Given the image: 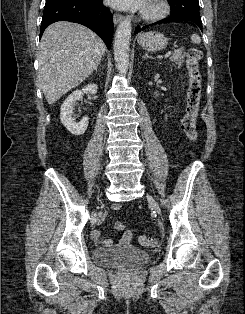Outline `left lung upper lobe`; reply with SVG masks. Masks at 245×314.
Masks as SVG:
<instances>
[{"mask_svg": "<svg viewBox=\"0 0 245 314\" xmlns=\"http://www.w3.org/2000/svg\"><path fill=\"white\" fill-rule=\"evenodd\" d=\"M172 16H188L201 19L198 0H167Z\"/></svg>", "mask_w": 245, "mask_h": 314, "instance_id": "1", "label": "left lung upper lobe"}]
</instances>
